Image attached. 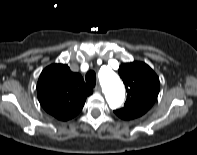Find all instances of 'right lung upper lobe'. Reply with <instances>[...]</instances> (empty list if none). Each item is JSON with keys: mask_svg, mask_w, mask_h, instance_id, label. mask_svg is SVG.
<instances>
[{"mask_svg": "<svg viewBox=\"0 0 197 155\" xmlns=\"http://www.w3.org/2000/svg\"><path fill=\"white\" fill-rule=\"evenodd\" d=\"M93 93L78 73L67 65L53 64L46 67L37 83V95L44 110L66 121L75 117L83 108L86 97Z\"/></svg>", "mask_w": 197, "mask_h": 155, "instance_id": "obj_1", "label": "right lung upper lobe"}]
</instances>
